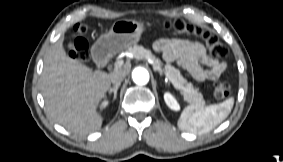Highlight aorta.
Here are the masks:
<instances>
[{
  "mask_svg": "<svg viewBox=\"0 0 283 162\" xmlns=\"http://www.w3.org/2000/svg\"><path fill=\"white\" fill-rule=\"evenodd\" d=\"M132 79L138 85H145L149 81V73L145 68L137 67L132 72Z\"/></svg>",
  "mask_w": 283,
  "mask_h": 162,
  "instance_id": "aorta-1",
  "label": "aorta"
}]
</instances>
